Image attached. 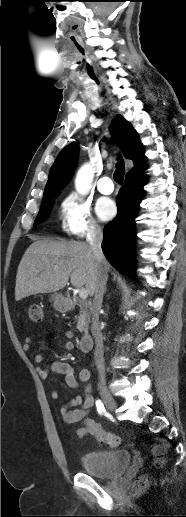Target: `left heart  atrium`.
<instances>
[{"mask_svg":"<svg viewBox=\"0 0 186 517\" xmlns=\"http://www.w3.org/2000/svg\"><path fill=\"white\" fill-rule=\"evenodd\" d=\"M96 212L102 220H110L116 214V206L111 199L102 198L96 204Z\"/></svg>","mask_w":186,"mask_h":517,"instance_id":"left-heart-atrium-1","label":"left heart atrium"}]
</instances>
